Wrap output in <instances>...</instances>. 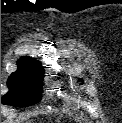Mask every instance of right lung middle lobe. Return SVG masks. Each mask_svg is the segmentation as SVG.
Returning <instances> with one entry per match:
<instances>
[{
	"instance_id": "1",
	"label": "right lung middle lobe",
	"mask_w": 122,
	"mask_h": 123,
	"mask_svg": "<svg viewBox=\"0 0 122 123\" xmlns=\"http://www.w3.org/2000/svg\"><path fill=\"white\" fill-rule=\"evenodd\" d=\"M44 71L18 66L12 73L7 85L9 92L2 98V104L14 106H30L41 100Z\"/></svg>"
}]
</instances>
